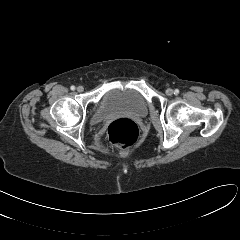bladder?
<instances>
[{
    "label": "bladder",
    "mask_w": 240,
    "mask_h": 240,
    "mask_svg": "<svg viewBox=\"0 0 240 240\" xmlns=\"http://www.w3.org/2000/svg\"><path fill=\"white\" fill-rule=\"evenodd\" d=\"M148 105L143 96L134 89H115L106 92L96 111L98 120H107L119 115L144 118Z\"/></svg>",
    "instance_id": "bladder-1"
}]
</instances>
